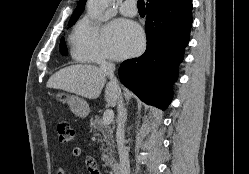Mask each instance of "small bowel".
Segmentation results:
<instances>
[{"label":"small bowel","mask_w":249,"mask_h":174,"mask_svg":"<svg viewBox=\"0 0 249 174\" xmlns=\"http://www.w3.org/2000/svg\"><path fill=\"white\" fill-rule=\"evenodd\" d=\"M81 154L82 151L79 147H73L70 150L71 157H79ZM84 161L89 174H101L100 170L98 169L97 162L93 157L86 156ZM56 174H66L65 169L59 167Z\"/></svg>","instance_id":"small-bowel-1"}]
</instances>
